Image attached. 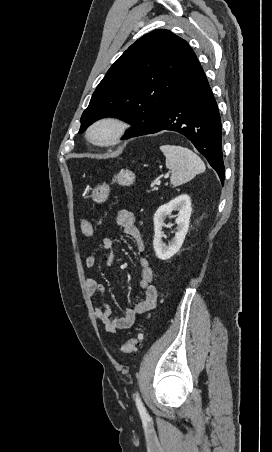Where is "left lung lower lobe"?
<instances>
[{"label": "left lung lower lobe", "mask_w": 272, "mask_h": 452, "mask_svg": "<svg viewBox=\"0 0 272 452\" xmlns=\"http://www.w3.org/2000/svg\"><path fill=\"white\" fill-rule=\"evenodd\" d=\"M161 130L185 135L208 160L224 183L221 118L206 75L197 59L184 73L165 103L159 120L135 130L124 138L152 134Z\"/></svg>", "instance_id": "1"}]
</instances>
